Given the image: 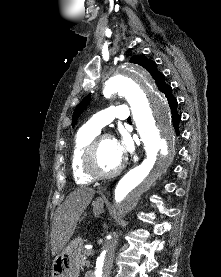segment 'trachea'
<instances>
[{
    "mask_svg": "<svg viewBox=\"0 0 221 277\" xmlns=\"http://www.w3.org/2000/svg\"><path fill=\"white\" fill-rule=\"evenodd\" d=\"M128 121H131L130 117L128 118Z\"/></svg>",
    "mask_w": 221,
    "mask_h": 277,
    "instance_id": "1",
    "label": "trachea"
}]
</instances>
